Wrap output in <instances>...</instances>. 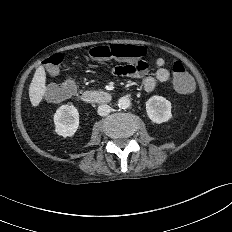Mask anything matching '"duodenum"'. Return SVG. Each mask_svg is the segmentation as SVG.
<instances>
[{
	"label": "duodenum",
	"mask_w": 232,
	"mask_h": 232,
	"mask_svg": "<svg viewBox=\"0 0 232 232\" xmlns=\"http://www.w3.org/2000/svg\"><path fill=\"white\" fill-rule=\"evenodd\" d=\"M111 94L106 91H84L81 94V100L87 104H106L111 101Z\"/></svg>",
	"instance_id": "duodenum-1"
}]
</instances>
